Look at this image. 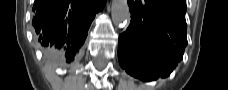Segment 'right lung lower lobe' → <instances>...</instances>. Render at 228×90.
I'll list each match as a JSON object with an SVG mask.
<instances>
[{"label":"right lung lower lobe","instance_id":"right-lung-lower-lobe-1","mask_svg":"<svg viewBox=\"0 0 228 90\" xmlns=\"http://www.w3.org/2000/svg\"><path fill=\"white\" fill-rule=\"evenodd\" d=\"M106 0H35L36 40L53 57L74 61L84 44L95 13Z\"/></svg>","mask_w":228,"mask_h":90}]
</instances>
